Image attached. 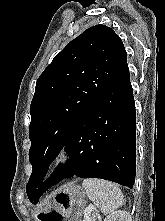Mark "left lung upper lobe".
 <instances>
[{"label": "left lung upper lobe", "mask_w": 165, "mask_h": 221, "mask_svg": "<svg viewBox=\"0 0 165 221\" xmlns=\"http://www.w3.org/2000/svg\"><path fill=\"white\" fill-rule=\"evenodd\" d=\"M126 61L124 45L114 30L96 25L68 43L40 75L30 106L33 171L26 192L31 202L50 163Z\"/></svg>", "instance_id": "left-lung-upper-lobe-1"}]
</instances>
